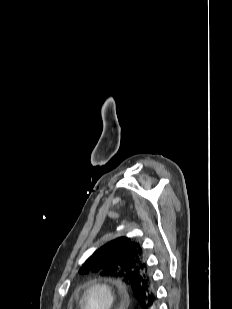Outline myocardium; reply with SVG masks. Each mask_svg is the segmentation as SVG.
<instances>
[{
    "instance_id": "myocardium-1",
    "label": "myocardium",
    "mask_w": 232,
    "mask_h": 309,
    "mask_svg": "<svg viewBox=\"0 0 232 309\" xmlns=\"http://www.w3.org/2000/svg\"><path fill=\"white\" fill-rule=\"evenodd\" d=\"M95 289L101 290L106 295L108 303L105 309H113L117 301V292L112 285L102 281H95L86 287L80 300V309H86V296Z\"/></svg>"
}]
</instances>
